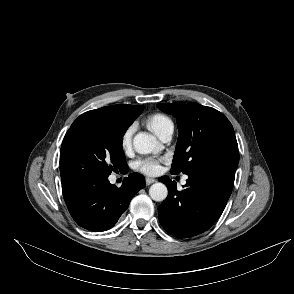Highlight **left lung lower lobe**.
<instances>
[{"instance_id": "1", "label": "left lung lower lobe", "mask_w": 294, "mask_h": 294, "mask_svg": "<svg viewBox=\"0 0 294 294\" xmlns=\"http://www.w3.org/2000/svg\"><path fill=\"white\" fill-rule=\"evenodd\" d=\"M239 152L219 156L201 171L188 175L185 189L164 176L168 197L158 207L159 221L177 238H189L209 229L222 214L231 195Z\"/></svg>"}]
</instances>
